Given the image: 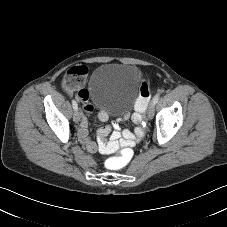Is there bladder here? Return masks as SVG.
Returning <instances> with one entry per match:
<instances>
[{"mask_svg":"<svg viewBox=\"0 0 227 227\" xmlns=\"http://www.w3.org/2000/svg\"><path fill=\"white\" fill-rule=\"evenodd\" d=\"M140 70L130 64L105 63L93 73L89 94L93 105L119 117L127 113L139 93Z\"/></svg>","mask_w":227,"mask_h":227,"instance_id":"obj_1","label":"bladder"}]
</instances>
